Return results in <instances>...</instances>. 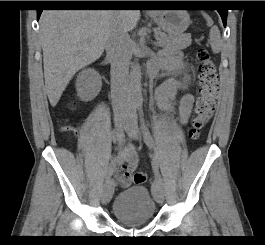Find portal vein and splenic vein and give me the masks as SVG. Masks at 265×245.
<instances>
[{
    "instance_id": "1",
    "label": "portal vein and splenic vein",
    "mask_w": 265,
    "mask_h": 245,
    "mask_svg": "<svg viewBox=\"0 0 265 245\" xmlns=\"http://www.w3.org/2000/svg\"><path fill=\"white\" fill-rule=\"evenodd\" d=\"M158 42H161V39H160V38L157 39V43H158Z\"/></svg>"
}]
</instances>
